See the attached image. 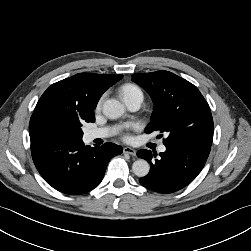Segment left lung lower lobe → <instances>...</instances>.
<instances>
[{"instance_id":"obj_1","label":"left lung lower lobe","mask_w":251,"mask_h":251,"mask_svg":"<svg viewBox=\"0 0 251 251\" xmlns=\"http://www.w3.org/2000/svg\"><path fill=\"white\" fill-rule=\"evenodd\" d=\"M211 144L195 142L188 146H166L160 157L150 150H139L137 156L150 163V172L139 179L146 188L158 193H173L190 184L203 169Z\"/></svg>"}]
</instances>
